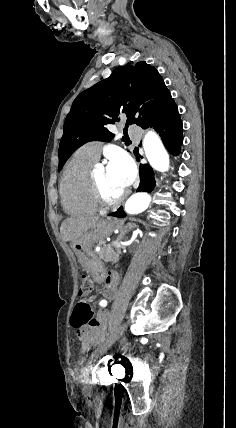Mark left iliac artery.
<instances>
[{
	"label": "left iliac artery",
	"instance_id": "obj_1",
	"mask_svg": "<svg viewBox=\"0 0 236 428\" xmlns=\"http://www.w3.org/2000/svg\"><path fill=\"white\" fill-rule=\"evenodd\" d=\"M100 305L105 307V306L107 305V301H106V300H102V301L100 302Z\"/></svg>",
	"mask_w": 236,
	"mask_h": 428
}]
</instances>
